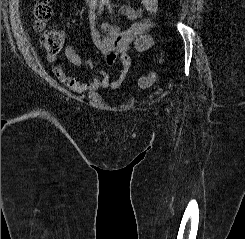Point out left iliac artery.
<instances>
[{"label":"left iliac artery","mask_w":245,"mask_h":239,"mask_svg":"<svg viewBox=\"0 0 245 239\" xmlns=\"http://www.w3.org/2000/svg\"><path fill=\"white\" fill-rule=\"evenodd\" d=\"M106 6H107L109 12H112V7H111L109 0H106Z\"/></svg>","instance_id":"44dca946"}]
</instances>
